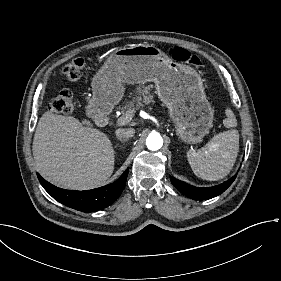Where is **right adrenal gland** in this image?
Returning a JSON list of instances; mask_svg holds the SVG:
<instances>
[{
  "instance_id": "1",
  "label": "right adrenal gland",
  "mask_w": 281,
  "mask_h": 281,
  "mask_svg": "<svg viewBox=\"0 0 281 281\" xmlns=\"http://www.w3.org/2000/svg\"><path fill=\"white\" fill-rule=\"evenodd\" d=\"M119 140H120L121 142H125V139H121V138H119Z\"/></svg>"
}]
</instances>
